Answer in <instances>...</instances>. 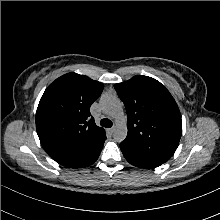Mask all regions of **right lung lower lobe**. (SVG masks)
Segmentation results:
<instances>
[{"label":"right lung lower lobe","instance_id":"1","mask_svg":"<svg viewBox=\"0 0 220 220\" xmlns=\"http://www.w3.org/2000/svg\"><path fill=\"white\" fill-rule=\"evenodd\" d=\"M101 150H102V148H101ZM101 150H100V151H99V153L97 154V157H96V159L94 160V162H95V161L98 159V157H99V155H100ZM94 162H93V163H94ZM93 163H92V164H93Z\"/></svg>","mask_w":220,"mask_h":220}]
</instances>
